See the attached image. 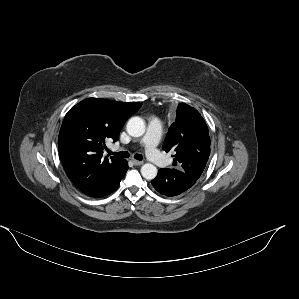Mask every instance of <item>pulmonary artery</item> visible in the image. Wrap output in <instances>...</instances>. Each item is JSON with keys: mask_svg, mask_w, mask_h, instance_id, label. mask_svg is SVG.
<instances>
[{"mask_svg": "<svg viewBox=\"0 0 299 299\" xmlns=\"http://www.w3.org/2000/svg\"><path fill=\"white\" fill-rule=\"evenodd\" d=\"M162 128L163 122L159 118H153L149 122L146 134L141 140V145L144 147L146 157L156 165H166L168 163V160L157 149Z\"/></svg>", "mask_w": 299, "mask_h": 299, "instance_id": "obj_1", "label": "pulmonary artery"}]
</instances>
